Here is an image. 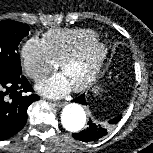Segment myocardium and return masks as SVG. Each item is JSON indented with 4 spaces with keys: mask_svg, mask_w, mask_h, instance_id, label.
I'll return each mask as SVG.
<instances>
[{
    "mask_svg": "<svg viewBox=\"0 0 153 153\" xmlns=\"http://www.w3.org/2000/svg\"><path fill=\"white\" fill-rule=\"evenodd\" d=\"M108 52V45L105 42L96 39L86 44L61 62L60 66L63 72L71 65L83 61L90 62V67L86 77L79 84L73 86L74 91H85L95 82L104 65Z\"/></svg>",
    "mask_w": 153,
    "mask_h": 153,
    "instance_id": "f54148a6",
    "label": "myocardium"
}]
</instances>
